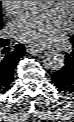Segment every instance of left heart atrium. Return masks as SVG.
I'll list each match as a JSON object with an SVG mask.
<instances>
[{
	"instance_id": "left-heart-atrium-1",
	"label": "left heart atrium",
	"mask_w": 74,
	"mask_h": 122,
	"mask_svg": "<svg viewBox=\"0 0 74 122\" xmlns=\"http://www.w3.org/2000/svg\"><path fill=\"white\" fill-rule=\"evenodd\" d=\"M69 25V18L56 6L26 11L12 22L11 27L20 41L45 45L66 32Z\"/></svg>"
}]
</instances>
